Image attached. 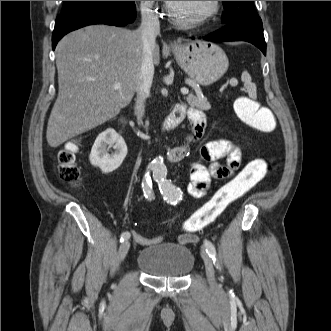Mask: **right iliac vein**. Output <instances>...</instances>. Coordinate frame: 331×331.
I'll return each instance as SVG.
<instances>
[{
  "label": "right iliac vein",
  "instance_id": "obj_1",
  "mask_svg": "<svg viewBox=\"0 0 331 331\" xmlns=\"http://www.w3.org/2000/svg\"><path fill=\"white\" fill-rule=\"evenodd\" d=\"M129 248H130V242L128 240H125L120 245L119 251H118V261H119V263H121L125 259Z\"/></svg>",
  "mask_w": 331,
  "mask_h": 331
}]
</instances>
